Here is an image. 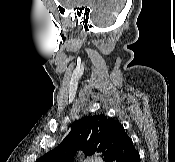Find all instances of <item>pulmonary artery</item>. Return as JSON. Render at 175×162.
<instances>
[{
    "label": "pulmonary artery",
    "mask_w": 175,
    "mask_h": 162,
    "mask_svg": "<svg viewBox=\"0 0 175 162\" xmlns=\"http://www.w3.org/2000/svg\"><path fill=\"white\" fill-rule=\"evenodd\" d=\"M90 162H102L100 160H91Z\"/></svg>",
    "instance_id": "1"
}]
</instances>
